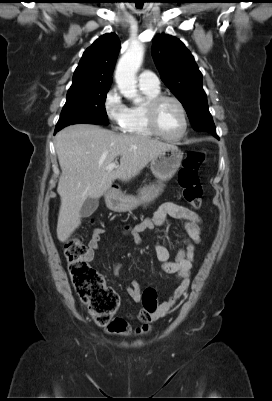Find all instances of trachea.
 <instances>
[{
  "instance_id": "obj_1",
  "label": "trachea",
  "mask_w": 272,
  "mask_h": 401,
  "mask_svg": "<svg viewBox=\"0 0 272 401\" xmlns=\"http://www.w3.org/2000/svg\"><path fill=\"white\" fill-rule=\"evenodd\" d=\"M142 6H143L142 3L140 4V3H137V2H136V7H137V8H142Z\"/></svg>"
}]
</instances>
